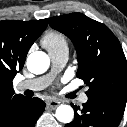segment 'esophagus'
<instances>
[{
	"instance_id": "esophagus-1",
	"label": "esophagus",
	"mask_w": 127,
	"mask_h": 127,
	"mask_svg": "<svg viewBox=\"0 0 127 127\" xmlns=\"http://www.w3.org/2000/svg\"><path fill=\"white\" fill-rule=\"evenodd\" d=\"M59 104H60V102L55 101V100H50V101H47V103H46L47 107L52 110L56 109L59 106Z\"/></svg>"
}]
</instances>
